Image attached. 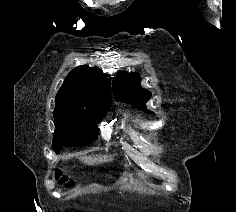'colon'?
I'll list each match as a JSON object with an SVG mask.
<instances>
[{
	"mask_svg": "<svg viewBox=\"0 0 236 212\" xmlns=\"http://www.w3.org/2000/svg\"><path fill=\"white\" fill-rule=\"evenodd\" d=\"M56 177L60 184L67 185V186L71 184L70 181L66 177L61 176L59 172L56 174Z\"/></svg>",
	"mask_w": 236,
	"mask_h": 212,
	"instance_id": "obj_1",
	"label": "colon"
}]
</instances>
